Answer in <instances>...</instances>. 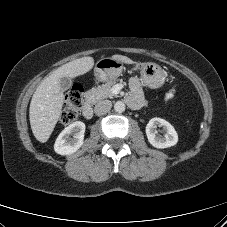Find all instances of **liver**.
I'll return each mask as SVG.
<instances>
[{"mask_svg": "<svg viewBox=\"0 0 227 227\" xmlns=\"http://www.w3.org/2000/svg\"><path fill=\"white\" fill-rule=\"evenodd\" d=\"M112 57L122 63H134L123 55ZM93 66L94 59L90 56L73 60L59 67L37 87L31 99L29 118L32 132L39 142L44 143L49 139L61 114L64 95L60 78H75L89 72Z\"/></svg>", "mask_w": 227, "mask_h": 227, "instance_id": "1", "label": "liver"}]
</instances>
